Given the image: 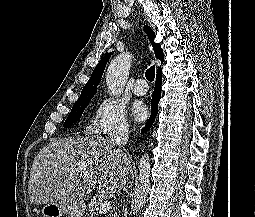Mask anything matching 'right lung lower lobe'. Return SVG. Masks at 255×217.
<instances>
[{
	"label": "right lung lower lobe",
	"mask_w": 255,
	"mask_h": 217,
	"mask_svg": "<svg viewBox=\"0 0 255 217\" xmlns=\"http://www.w3.org/2000/svg\"><path fill=\"white\" fill-rule=\"evenodd\" d=\"M161 84H162V75L161 71L157 73L156 76V86L154 88V93L152 96V101H151V116L146 123L145 128L142 129V133H145L154 123L155 117L158 112V102L161 97Z\"/></svg>",
	"instance_id": "right-lung-lower-lobe-1"
}]
</instances>
